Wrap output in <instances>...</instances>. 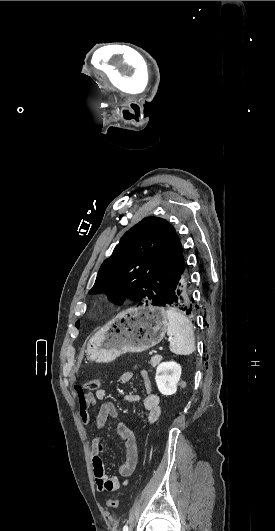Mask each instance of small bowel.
Masks as SVG:
<instances>
[{
    "label": "small bowel",
    "instance_id": "small-bowel-1",
    "mask_svg": "<svg viewBox=\"0 0 275 531\" xmlns=\"http://www.w3.org/2000/svg\"><path fill=\"white\" fill-rule=\"evenodd\" d=\"M139 377L143 386V395L128 393L124 396V399L128 402L141 401L147 415V420L152 425L157 422L161 414L160 397L154 392L152 380L146 370L140 371ZM132 378L133 373L131 371H125L122 373L120 380L126 384L131 382ZM72 389L78 396L83 394L81 384H74ZM105 399L106 391L100 389L94 394H84V399L79 401V406L81 408L80 417L84 425L91 423L93 409L97 407V415L94 423L97 434L94 436L91 444V459L97 489L101 492H111L127 485L128 479L133 474L139 462V452L136 437L132 430L127 425L119 423L117 425V433L124 441L125 459L119 466L118 476H109L106 474L102 457L105 452V444L99 432L105 426L108 418L118 417V410L113 402L105 401Z\"/></svg>",
    "mask_w": 275,
    "mask_h": 531
}]
</instances>
